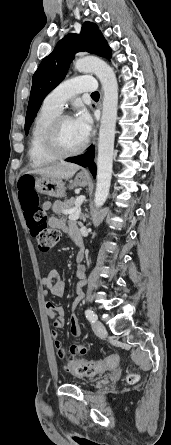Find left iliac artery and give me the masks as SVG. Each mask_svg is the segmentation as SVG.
I'll list each match as a JSON object with an SVG mask.
<instances>
[{
  "instance_id": "44dca946",
  "label": "left iliac artery",
  "mask_w": 171,
  "mask_h": 445,
  "mask_svg": "<svg viewBox=\"0 0 171 445\" xmlns=\"http://www.w3.org/2000/svg\"><path fill=\"white\" fill-rule=\"evenodd\" d=\"M85 315L86 318L91 322V323H95L97 320V315L91 310V309H87L85 311Z\"/></svg>"
}]
</instances>
